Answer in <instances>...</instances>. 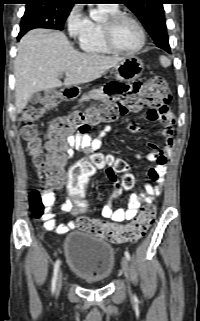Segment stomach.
I'll return each instance as SVG.
<instances>
[{
    "mask_svg": "<svg viewBox=\"0 0 200 321\" xmlns=\"http://www.w3.org/2000/svg\"><path fill=\"white\" fill-rule=\"evenodd\" d=\"M144 66L138 57L124 58L115 66V76L117 80L132 81L139 78L143 72ZM81 94V88L78 86L66 87L60 93L63 99H76Z\"/></svg>",
    "mask_w": 200,
    "mask_h": 321,
    "instance_id": "stomach-1",
    "label": "stomach"
}]
</instances>
